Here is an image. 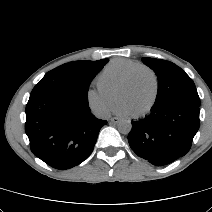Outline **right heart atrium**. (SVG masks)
I'll return each mask as SVG.
<instances>
[{
    "label": "right heart atrium",
    "mask_w": 212,
    "mask_h": 212,
    "mask_svg": "<svg viewBox=\"0 0 212 212\" xmlns=\"http://www.w3.org/2000/svg\"><path fill=\"white\" fill-rule=\"evenodd\" d=\"M86 100L89 108L98 116H106L114 104V96L98 87L87 91Z\"/></svg>",
    "instance_id": "1"
}]
</instances>
